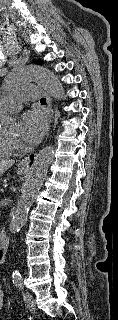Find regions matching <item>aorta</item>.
<instances>
[{"mask_svg": "<svg viewBox=\"0 0 118 320\" xmlns=\"http://www.w3.org/2000/svg\"><path fill=\"white\" fill-rule=\"evenodd\" d=\"M30 81L40 83L53 98L58 100L64 98V88L58 77L47 68L37 65L14 69L6 77V88L10 89ZM16 124L17 121L12 116L4 115L0 117V128L10 130L14 129ZM54 155L55 148L53 146H46L36 155L32 171L23 186L21 196L9 224L11 233L18 232L27 221L29 209L43 185ZM20 277L21 275L17 270L12 273L13 279L18 280Z\"/></svg>", "mask_w": 118, "mask_h": 320, "instance_id": "aorta-1", "label": "aorta"}]
</instances>
